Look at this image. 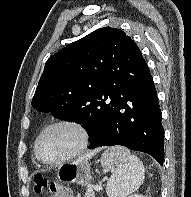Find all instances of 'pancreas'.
I'll return each mask as SVG.
<instances>
[{
	"label": "pancreas",
	"mask_w": 191,
	"mask_h": 197,
	"mask_svg": "<svg viewBox=\"0 0 191 197\" xmlns=\"http://www.w3.org/2000/svg\"><path fill=\"white\" fill-rule=\"evenodd\" d=\"M84 197H95V196H94V193H91V192L88 191V192L85 193Z\"/></svg>",
	"instance_id": "obj_1"
}]
</instances>
